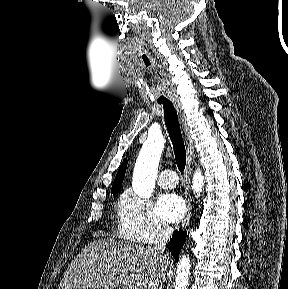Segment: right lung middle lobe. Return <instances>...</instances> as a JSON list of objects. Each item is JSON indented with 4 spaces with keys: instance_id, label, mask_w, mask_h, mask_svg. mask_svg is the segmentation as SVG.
<instances>
[{
    "instance_id": "right-lung-middle-lobe-1",
    "label": "right lung middle lobe",
    "mask_w": 288,
    "mask_h": 289,
    "mask_svg": "<svg viewBox=\"0 0 288 289\" xmlns=\"http://www.w3.org/2000/svg\"><path fill=\"white\" fill-rule=\"evenodd\" d=\"M118 191H119V190H116V191H113L112 193H113V194H116V193H118Z\"/></svg>"
}]
</instances>
